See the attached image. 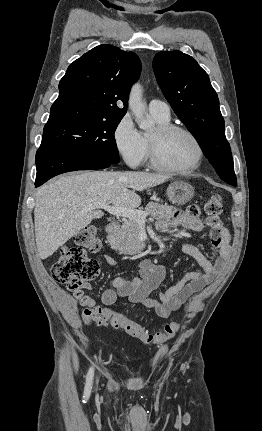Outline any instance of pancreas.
Instances as JSON below:
<instances>
[{
  "mask_svg": "<svg viewBox=\"0 0 262 431\" xmlns=\"http://www.w3.org/2000/svg\"><path fill=\"white\" fill-rule=\"evenodd\" d=\"M173 207L150 202L145 207L146 213L155 219H165L172 213ZM141 225L135 220H128L112 236L110 244L120 254H135L143 250L145 243L139 239Z\"/></svg>",
  "mask_w": 262,
  "mask_h": 431,
  "instance_id": "cf45deb5",
  "label": "pancreas"
}]
</instances>
